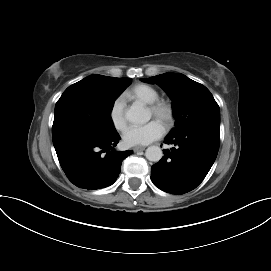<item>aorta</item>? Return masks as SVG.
Wrapping results in <instances>:
<instances>
[{"instance_id": "762f6f07", "label": "aorta", "mask_w": 271, "mask_h": 271, "mask_svg": "<svg viewBox=\"0 0 271 271\" xmlns=\"http://www.w3.org/2000/svg\"><path fill=\"white\" fill-rule=\"evenodd\" d=\"M126 119L135 124H144L151 118L150 112L141 104L134 103L126 111ZM145 156L149 161L158 162L163 156V152L158 146H150L146 149Z\"/></svg>"}]
</instances>
